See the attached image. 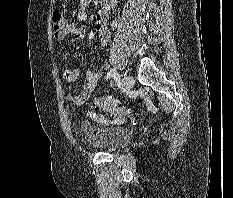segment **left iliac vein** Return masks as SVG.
<instances>
[{
	"label": "left iliac vein",
	"instance_id": "1",
	"mask_svg": "<svg viewBox=\"0 0 233 198\" xmlns=\"http://www.w3.org/2000/svg\"><path fill=\"white\" fill-rule=\"evenodd\" d=\"M135 80L131 75H125L122 79V88L129 91L134 86Z\"/></svg>",
	"mask_w": 233,
	"mask_h": 198
}]
</instances>
